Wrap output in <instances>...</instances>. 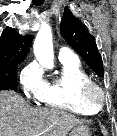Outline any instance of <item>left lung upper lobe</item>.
<instances>
[{"instance_id":"5c2ea615","label":"left lung upper lobe","mask_w":117,"mask_h":136,"mask_svg":"<svg viewBox=\"0 0 117 136\" xmlns=\"http://www.w3.org/2000/svg\"><path fill=\"white\" fill-rule=\"evenodd\" d=\"M61 34L93 69L98 76H103V64L97 50L95 38L88 32L87 27L65 7L61 21Z\"/></svg>"}]
</instances>
